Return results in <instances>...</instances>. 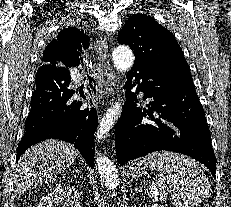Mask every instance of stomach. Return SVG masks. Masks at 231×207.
Masks as SVG:
<instances>
[{
	"mask_svg": "<svg viewBox=\"0 0 231 207\" xmlns=\"http://www.w3.org/2000/svg\"><path fill=\"white\" fill-rule=\"evenodd\" d=\"M143 163H133L130 166V174L133 177H142L147 173V166H145Z\"/></svg>",
	"mask_w": 231,
	"mask_h": 207,
	"instance_id": "1",
	"label": "stomach"
}]
</instances>
